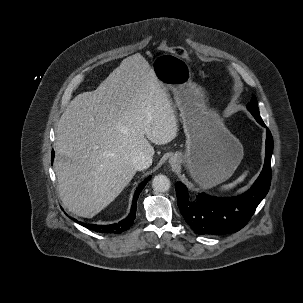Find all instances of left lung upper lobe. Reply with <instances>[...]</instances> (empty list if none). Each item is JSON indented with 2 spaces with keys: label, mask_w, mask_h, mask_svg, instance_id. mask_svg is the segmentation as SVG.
<instances>
[{
  "label": "left lung upper lobe",
  "mask_w": 303,
  "mask_h": 303,
  "mask_svg": "<svg viewBox=\"0 0 303 303\" xmlns=\"http://www.w3.org/2000/svg\"><path fill=\"white\" fill-rule=\"evenodd\" d=\"M247 108L254 117L262 119L259 114V109L255 96H252L251 102L247 105Z\"/></svg>",
  "instance_id": "left-lung-upper-lobe-1"
}]
</instances>
